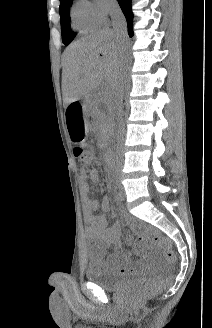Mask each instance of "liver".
Instances as JSON below:
<instances>
[{"label": "liver", "mask_w": 212, "mask_h": 328, "mask_svg": "<svg viewBox=\"0 0 212 328\" xmlns=\"http://www.w3.org/2000/svg\"><path fill=\"white\" fill-rule=\"evenodd\" d=\"M124 40L105 28L72 43L63 53L62 92L70 104L101 87L112 94L123 66Z\"/></svg>", "instance_id": "1"}]
</instances>
